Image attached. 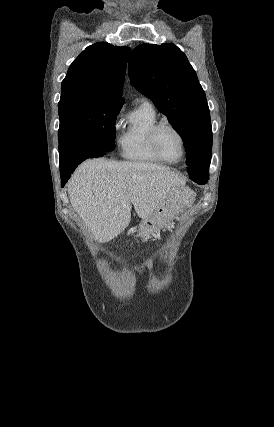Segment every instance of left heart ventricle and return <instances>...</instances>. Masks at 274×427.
Instances as JSON below:
<instances>
[{"label":"left heart ventricle","instance_id":"1","mask_svg":"<svg viewBox=\"0 0 274 427\" xmlns=\"http://www.w3.org/2000/svg\"><path fill=\"white\" fill-rule=\"evenodd\" d=\"M159 147L170 161H178L182 156V143L179 136L170 129H163L159 134Z\"/></svg>","mask_w":274,"mask_h":427}]
</instances>
